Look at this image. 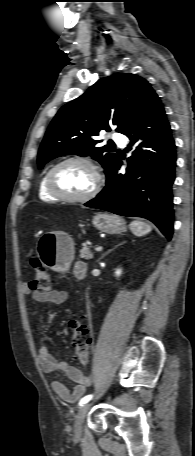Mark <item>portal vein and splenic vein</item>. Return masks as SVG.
Returning a JSON list of instances; mask_svg holds the SVG:
<instances>
[{"mask_svg":"<svg viewBox=\"0 0 195 456\" xmlns=\"http://www.w3.org/2000/svg\"><path fill=\"white\" fill-rule=\"evenodd\" d=\"M102 249H103V248H102L101 246H99V247H96V248H95V251L100 252V251H102Z\"/></svg>","mask_w":195,"mask_h":456,"instance_id":"18ae733b","label":"portal vein and splenic vein"}]
</instances>
